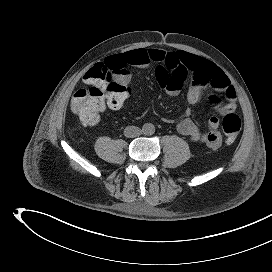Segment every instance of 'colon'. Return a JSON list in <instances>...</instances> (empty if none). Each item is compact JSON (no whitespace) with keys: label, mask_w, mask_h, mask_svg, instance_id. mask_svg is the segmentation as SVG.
Listing matches in <instances>:
<instances>
[{"label":"colon","mask_w":272,"mask_h":272,"mask_svg":"<svg viewBox=\"0 0 272 272\" xmlns=\"http://www.w3.org/2000/svg\"><path fill=\"white\" fill-rule=\"evenodd\" d=\"M123 67L111 68L101 63L96 64L84 75L87 87L77 90L71 100V110L84 125H95L100 114L108 105L110 108H121L131 93L128 82L123 76ZM241 120L236 114L223 118L222 128L228 144H232L240 130Z\"/></svg>","instance_id":"colon-1"}]
</instances>
